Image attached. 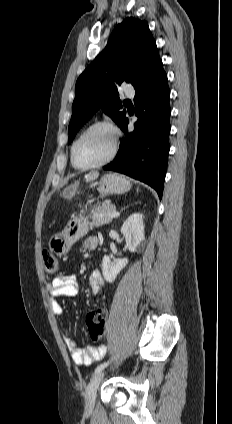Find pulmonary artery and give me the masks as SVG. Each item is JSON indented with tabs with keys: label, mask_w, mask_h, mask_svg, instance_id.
Instances as JSON below:
<instances>
[{
	"label": "pulmonary artery",
	"mask_w": 232,
	"mask_h": 424,
	"mask_svg": "<svg viewBox=\"0 0 232 424\" xmlns=\"http://www.w3.org/2000/svg\"><path fill=\"white\" fill-rule=\"evenodd\" d=\"M124 93L128 97H133L135 94V91L131 86H126V88L124 89Z\"/></svg>",
	"instance_id": "obj_1"
}]
</instances>
